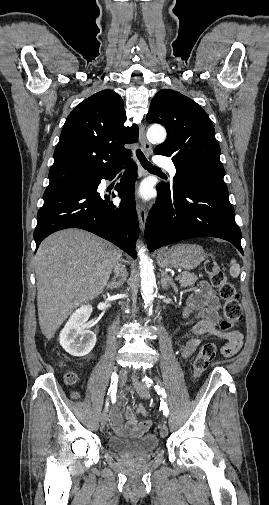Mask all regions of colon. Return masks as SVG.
Here are the masks:
<instances>
[{
  "label": "colon",
  "instance_id": "colon-1",
  "mask_svg": "<svg viewBox=\"0 0 269 505\" xmlns=\"http://www.w3.org/2000/svg\"><path fill=\"white\" fill-rule=\"evenodd\" d=\"M205 268L212 286L218 290L219 296L224 302L223 319L220 323V330L222 332H229L243 319V309L239 301L236 287L234 283L227 278L223 268L215 260H208ZM216 353L217 346L214 343H205L202 345L193 361L192 379L194 381L198 380L207 370L210 361L216 356ZM65 378L69 384H73L77 381L76 374L71 371L66 373ZM136 410L137 413L142 416H145L147 413L143 405H139Z\"/></svg>",
  "mask_w": 269,
  "mask_h": 505
}]
</instances>
